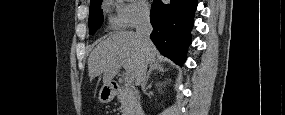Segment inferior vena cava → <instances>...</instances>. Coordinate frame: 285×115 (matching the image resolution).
Returning a JSON list of instances; mask_svg holds the SVG:
<instances>
[{
  "label": "inferior vena cava",
  "mask_w": 285,
  "mask_h": 115,
  "mask_svg": "<svg viewBox=\"0 0 285 115\" xmlns=\"http://www.w3.org/2000/svg\"><path fill=\"white\" fill-rule=\"evenodd\" d=\"M152 25L150 23V17L148 14L143 15L136 26V36L141 42L142 45L147 46L151 43L150 41V34L152 33ZM146 69L147 65H143L138 73L137 80L141 84V87L143 88L145 85V79H146Z\"/></svg>",
  "instance_id": "602c4592"
}]
</instances>
